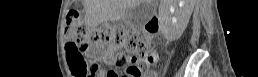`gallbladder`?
<instances>
[{
	"mask_svg": "<svg viewBox=\"0 0 258 77\" xmlns=\"http://www.w3.org/2000/svg\"><path fill=\"white\" fill-rule=\"evenodd\" d=\"M154 4L149 1H143L136 7L128 10L125 21L130 27H141L153 15Z\"/></svg>",
	"mask_w": 258,
	"mask_h": 77,
	"instance_id": "bac80fb5",
	"label": "gallbladder"
}]
</instances>
